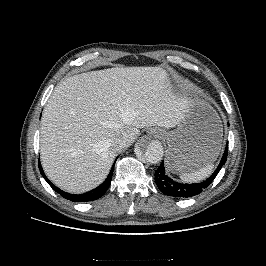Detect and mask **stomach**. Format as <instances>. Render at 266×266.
I'll use <instances>...</instances> for the list:
<instances>
[{"label":"stomach","instance_id":"0dacf381","mask_svg":"<svg viewBox=\"0 0 266 266\" xmlns=\"http://www.w3.org/2000/svg\"><path fill=\"white\" fill-rule=\"evenodd\" d=\"M188 106L177 129L166 132V164L170 171H196L216 160L222 148L221 120L196 89H188Z\"/></svg>","mask_w":266,"mask_h":266}]
</instances>
